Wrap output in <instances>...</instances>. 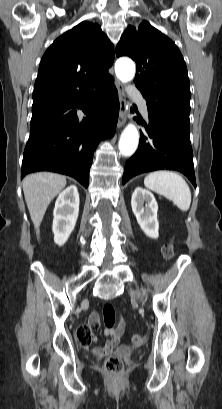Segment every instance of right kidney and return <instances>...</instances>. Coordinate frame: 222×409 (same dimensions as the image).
<instances>
[{
	"mask_svg": "<svg viewBox=\"0 0 222 409\" xmlns=\"http://www.w3.org/2000/svg\"><path fill=\"white\" fill-rule=\"evenodd\" d=\"M79 214V194L75 185H70L62 191L53 211L54 219L52 230L54 242L62 246L74 230Z\"/></svg>",
	"mask_w": 222,
	"mask_h": 409,
	"instance_id": "obj_1",
	"label": "right kidney"
}]
</instances>
